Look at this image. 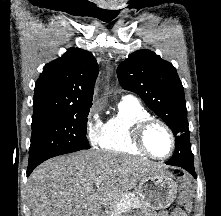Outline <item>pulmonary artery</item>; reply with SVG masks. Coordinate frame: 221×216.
<instances>
[{
    "instance_id": "1",
    "label": "pulmonary artery",
    "mask_w": 221,
    "mask_h": 216,
    "mask_svg": "<svg viewBox=\"0 0 221 216\" xmlns=\"http://www.w3.org/2000/svg\"><path fill=\"white\" fill-rule=\"evenodd\" d=\"M131 96H129V95H126V96H124L123 98H130Z\"/></svg>"
}]
</instances>
